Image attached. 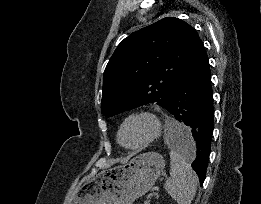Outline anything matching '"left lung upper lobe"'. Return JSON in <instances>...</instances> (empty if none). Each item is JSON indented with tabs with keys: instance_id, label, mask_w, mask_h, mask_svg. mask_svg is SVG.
Instances as JSON below:
<instances>
[{
	"instance_id": "obj_1",
	"label": "left lung upper lobe",
	"mask_w": 261,
	"mask_h": 204,
	"mask_svg": "<svg viewBox=\"0 0 261 204\" xmlns=\"http://www.w3.org/2000/svg\"><path fill=\"white\" fill-rule=\"evenodd\" d=\"M198 37L183 20L167 17L125 38L104 71V116L149 102L167 109Z\"/></svg>"
}]
</instances>
